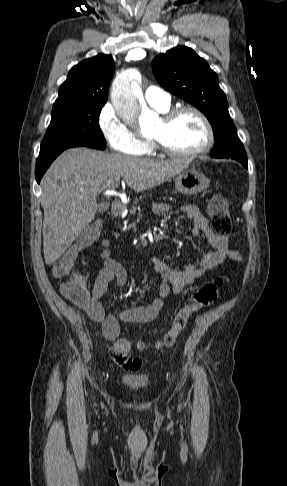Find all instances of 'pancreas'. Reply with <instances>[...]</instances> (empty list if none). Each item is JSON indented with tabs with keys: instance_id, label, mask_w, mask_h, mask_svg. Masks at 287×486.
Wrapping results in <instances>:
<instances>
[{
	"instance_id": "cf45deb5",
	"label": "pancreas",
	"mask_w": 287,
	"mask_h": 486,
	"mask_svg": "<svg viewBox=\"0 0 287 486\" xmlns=\"http://www.w3.org/2000/svg\"><path fill=\"white\" fill-rule=\"evenodd\" d=\"M141 199V197H139V199H136L134 204H137V202ZM136 213V207L133 206L132 209H130V214L131 215H134Z\"/></svg>"
}]
</instances>
